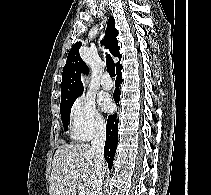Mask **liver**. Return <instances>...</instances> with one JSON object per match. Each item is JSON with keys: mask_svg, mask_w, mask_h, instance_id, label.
I'll use <instances>...</instances> for the list:
<instances>
[{"mask_svg": "<svg viewBox=\"0 0 211 195\" xmlns=\"http://www.w3.org/2000/svg\"><path fill=\"white\" fill-rule=\"evenodd\" d=\"M95 176V152L89 144H62L53 157L49 194L77 195L82 185L89 195Z\"/></svg>", "mask_w": 211, "mask_h": 195, "instance_id": "liver-1", "label": "liver"}]
</instances>
